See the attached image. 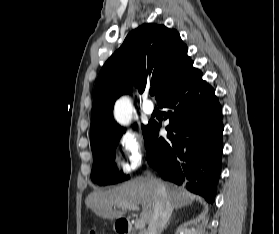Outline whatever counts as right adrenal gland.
Segmentation results:
<instances>
[{
    "label": "right adrenal gland",
    "instance_id": "1",
    "mask_svg": "<svg viewBox=\"0 0 279 234\" xmlns=\"http://www.w3.org/2000/svg\"><path fill=\"white\" fill-rule=\"evenodd\" d=\"M171 219V218H170ZM170 219L168 220L166 226L164 227L165 229L168 227V225L170 224Z\"/></svg>",
    "mask_w": 279,
    "mask_h": 234
}]
</instances>
